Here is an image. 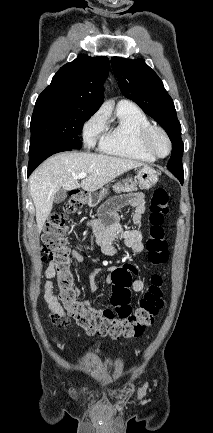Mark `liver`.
Listing matches in <instances>:
<instances>
[{
    "label": "liver",
    "mask_w": 213,
    "mask_h": 433,
    "mask_svg": "<svg viewBox=\"0 0 213 433\" xmlns=\"http://www.w3.org/2000/svg\"><path fill=\"white\" fill-rule=\"evenodd\" d=\"M136 161L102 154L66 152L44 161L30 176L29 188L36 209V222L40 233L51 213L55 193L61 188H82L93 192L131 169L142 166ZM86 173L79 183L76 176Z\"/></svg>",
    "instance_id": "1"
}]
</instances>
